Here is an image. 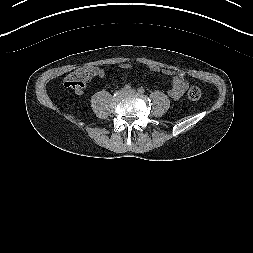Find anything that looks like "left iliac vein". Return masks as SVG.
I'll return each mask as SVG.
<instances>
[{
  "mask_svg": "<svg viewBox=\"0 0 253 253\" xmlns=\"http://www.w3.org/2000/svg\"><path fill=\"white\" fill-rule=\"evenodd\" d=\"M126 92L131 93V94H135L136 90H134V89H128V90H126Z\"/></svg>",
  "mask_w": 253,
  "mask_h": 253,
  "instance_id": "4c4485c4",
  "label": "left iliac vein"
}]
</instances>
